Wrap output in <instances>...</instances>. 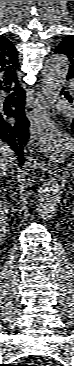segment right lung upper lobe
<instances>
[{
  "label": "right lung upper lobe",
  "instance_id": "cb5924a9",
  "mask_svg": "<svg viewBox=\"0 0 74 366\" xmlns=\"http://www.w3.org/2000/svg\"><path fill=\"white\" fill-rule=\"evenodd\" d=\"M17 50L5 37L0 36V88L4 83L9 87L13 82L17 83L16 69L19 67Z\"/></svg>",
  "mask_w": 74,
  "mask_h": 366
}]
</instances>
